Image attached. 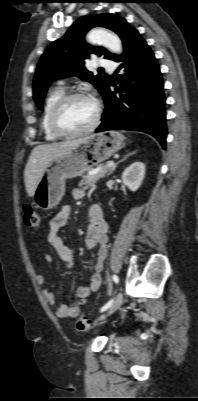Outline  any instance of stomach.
<instances>
[{"mask_svg":"<svg viewBox=\"0 0 198 401\" xmlns=\"http://www.w3.org/2000/svg\"><path fill=\"white\" fill-rule=\"evenodd\" d=\"M125 137L117 131L96 133L62 155L45 169L34 193L38 208L56 207L65 194V181L83 175L91 167L110 158L124 146Z\"/></svg>","mask_w":198,"mask_h":401,"instance_id":"obj_1","label":"stomach"}]
</instances>
